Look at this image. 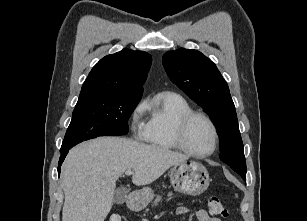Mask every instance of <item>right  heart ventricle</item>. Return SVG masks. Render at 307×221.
<instances>
[{"label": "right heart ventricle", "instance_id": "e07e8e85", "mask_svg": "<svg viewBox=\"0 0 307 221\" xmlns=\"http://www.w3.org/2000/svg\"><path fill=\"white\" fill-rule=\"evenodd\" d=\"M150 116L145 140L163 149H177L175 130L179 119L193 111L188 101L174 92H163L146 104Z\"/></svg>", "mask_w": 307, "mask_h": 221}]
</instances>
